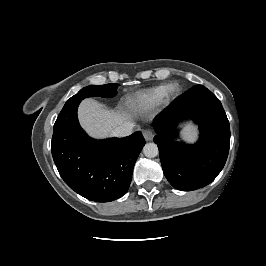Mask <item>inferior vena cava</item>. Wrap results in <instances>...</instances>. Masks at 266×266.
I'll list each match as a JSON object with an SVG mask.
<instances>
[{
    "label": "inferior vena cava",
    "mask_w": 266,
    "mask_h": 266,
    "mask_svg": "<svg viewBox=\"0 0 266 266\" xmlns=\"http://www.w3.org/2000/svg\"><path fill=\"white\" fill-rule=\"evenodd\" d=\"M134 128V124L131 122H124L120 126L116 127L113 130V135L117 137H125L132 134Z\"/></svg>",
    "instance_id": "1"
}]
</instances>
